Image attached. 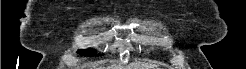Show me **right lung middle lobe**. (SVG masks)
<instances>
[{"mask_svg": "<svg viewBox=\"0 0 246 69\" xmlns=\"http://www.w3.org/2000/svg\"><path fill=\"white\" fill-rule=\"evenodd\" d=\"M78 53L80 54V55H84V56H92L93 54V52H89V51H86V50H80V51H78Z\"/></svg>", "mask_w": 246, "mask_h": 69, "instance_id": "dd1d6c3e", "label": "right lung middle lobe"}]
</instances>
